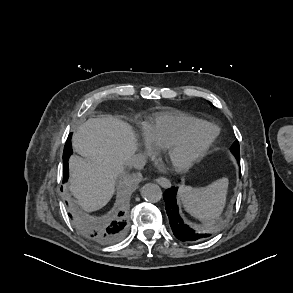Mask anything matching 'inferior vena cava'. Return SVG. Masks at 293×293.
Here are the masks:
<instances>
[{
	"instance_id": "1",
	"label": "inferior vena cava",
	"mask_w": 293,
	"mask_h": 293,
	"mask_svg": "<svg viewBox=\"0 0 293 293\" xmlns=\"http://www.w3.org/2000/svg\"><path fill=\"white\" fill-rule=\"evenodd\" d=\"M145 164H146V158L142 154L133 155L127 161L128 166L134 167L136 169L143 168Z\"/></svg>"
}]
</instances>
